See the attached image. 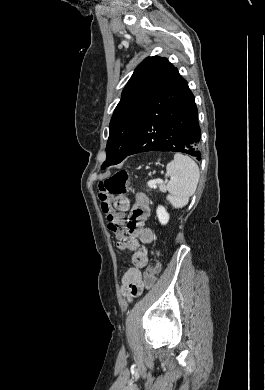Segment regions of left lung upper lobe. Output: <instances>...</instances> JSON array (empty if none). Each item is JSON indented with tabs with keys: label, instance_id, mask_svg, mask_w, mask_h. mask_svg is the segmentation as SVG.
<instances>
[{
	"label": "left lung upper lobe",
	"instance_id": "obj_1",
	"mask_svg": "<svg viewBox=\"0 0 265 390\" xmlns=\"http://www.w3.org/2000/svg\"><path fill=\"white\" fill-rule=\"evenodd\" d=\"M174 66L158 56L146 58L134 70L112 115L106 161L101 168L120 163L129 152L139 131L146 107L156 95Z\"/></svg>",
	"mask_w": 265,
	"mask_h": 390
}]
</instances>
